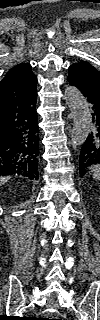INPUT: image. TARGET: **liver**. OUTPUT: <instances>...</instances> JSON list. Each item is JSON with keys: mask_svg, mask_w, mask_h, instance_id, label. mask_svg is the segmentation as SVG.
Returning a JSON list of instances; mask_svg holds the SVG:
<instances>
[{"mask_svg": "<svg viewBox=\"0 0 100 320\" xmlns=\"http://www.w3.org/2000/svg\"><path fill=\"white\" fill-rule=\"evenodd\" d=\"M10 179V177H1V184H4L5 182H7Z\"/></svg>", "mask_w": 100, "mask_h": 320, "instance_id": "6515ba94", "label": "liver"}]
</instances>
